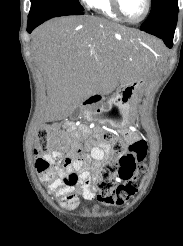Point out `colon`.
<instances>
[{
	"instance_id": "5ec220e1",
	"label": "colon",
	"mask_w": 183,
	"mask_h": 246,
	"mask_svg": "<svg viewBox=\"0 0 183 246\" xmlns=\"http://www.w3.org/2000/svg\"><path fill=\"white\" fill-rule=\"evenodd\" d=\"M97 120L114 119L116 114L107 110H96L92 113ZM58 128L42 127L37 132L35 151L37 154L36 168L40 173L50 171V163L44 158L57 146L60 163L67 166L80 162L85 164L87 158L83 157L74 141L57 144L56 134ZM104 138L111 142V157L102 166L100 175L95 183L98 200L107 206H121L138 194L147 175L146 154L147 145L144 140H138L127 148L124 142L111 134ZM76 178H64L71 183Z\"/></svg>"
}]
</instances>
